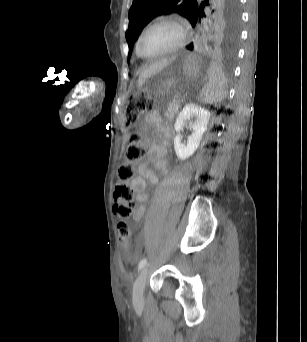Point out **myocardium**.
<instances>
[{
  "label": "myocardium",
  "instance_id": "f54148a6",
  "mask_svg": "<svg viewBox=\"0 0 307 342\" xmlns=\"http://www.w3.org/2000/svg\"><path fill=\"white\" fill-rule=\"evenodd\" d=\"M160 22H168V23L172 24L176 28V30L178 32V39L176 40V42L170 48L166 49L162 53H160V54H158L156 56H153V57L145 56L142 53V50H141L142 38H143L144 34L147 32V30L151 26H153L156 23H160ZM185 42H186V32H185V29H184V26H183L182 22L179 19H177L176 17H173V16L160 15V16H157V17L149 20L142 27V29H141V31L139 33L138 39H137L136 50H137V54L142 59H144L146 61H154V60H158V59L166 57V56H168L170 54L175 53L176 51H178L179 49H181L184 46Z\"/></svg>",
  "mask_w": 307,
  "mask_h": 342
}]
</instances>
